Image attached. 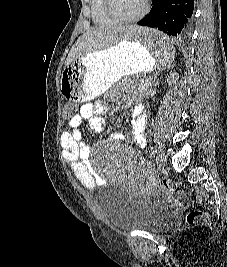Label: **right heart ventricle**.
Here are the masks:
<instances>
[{
    "mask_svg": "<svg viewBox=\"0 0 227 267\" xmlns=\"http://www.w3.org/2000/svg\"><path fill=\"white\" fill-rule=\"evenodd\" d=\"M104 0H91L92 17L98 25H113L116 23L106 12Z\"/></svg>",
    "mask_w": 227,
    "mask_h": 267,
    "instance_id": "1",
    "label": "right heart ventricle"
}]
</instances>
